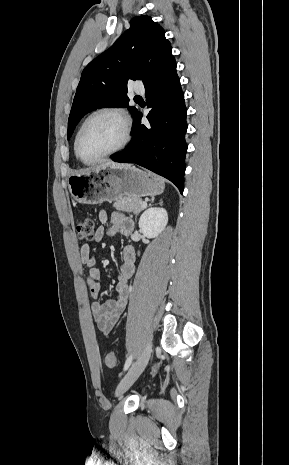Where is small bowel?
Instances as JSON below:
<instances>
[{
	"mask_svg": "<svg viewBox=\"0 0 289 465\" xmlns=\"http://www.w3.org/2000/svg\"><path fill=\"white\" fill-rule=\"evenodd\" d=\"M102 224L95 232V241L101 243L105 237L121 233L129 235L133 231V222L120 212L109 215L106 211L99 212ZM110 223L108 229L104 225ZM80 258L87 267V288L95 301L92 303V315L98 329L105 335L109 334L124 311L130 295V283L135 270V251L131 246H125L121 252V266L117 274L116 294L106 302L98 301L100 295V270L96 267L95 258L91 256V248L85 243L80 248Z\"/></svg>",
	"mask_w": 289,
	"mask_h": 465,
	"instance_id": "obj_1",
	"label": "small bowel"
}]
</instances>
